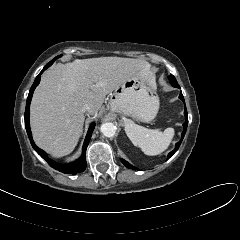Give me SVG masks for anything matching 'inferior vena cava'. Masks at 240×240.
Masks as SVG:
<instances>
[{
  "label": "inferior vena cava",
  "instance_id": "602c4592",
  "mask_svg": "<svg viewBox=\"0 0 240 240\" xmlns=\"http://www.w3.org/2000/svg\"><path fill=\"white\" fill-rule=\"evenodd\" d=\"M90 106L88 104H85L83 107H82V111L83 112H89L90 111Z\"/></svg>",
  "mask_w": 240,
  "mask_h": 240
}]
</instances>
